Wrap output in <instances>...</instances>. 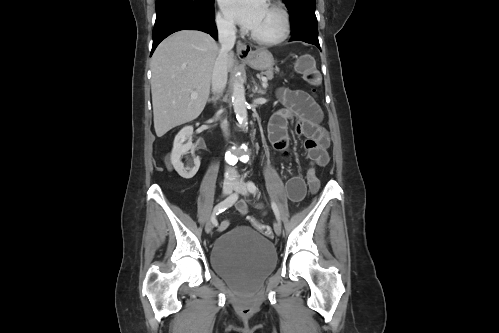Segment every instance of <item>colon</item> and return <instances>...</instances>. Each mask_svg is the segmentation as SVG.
I'll return each mask as SVG.
<instances>
[{"instance_id": "obj_1", "label": "colon", "mask_w": 499, "mask_h": 333, "mask_svg": "<svg viewBox=\"0 0 499 333\" xmlns=\"http://www.w3.org/2000/svg\"><path fill=\"white\" fill-rule=\"evenodd\" d=\"M296 68L298 72L303 75L306 82L309 83L312 87L316 88L320 86L322 81L321 74L315 67L314 60L311 57H301L296 64ZM306 181L311 192L315 193L318 191L320 183L317 177V169L314 163H312L307 169ZM250 221L254 225V227L263 235L267 237H270L272 235L271 228L268 225L263 224L254 218H250Z\"/></svg>"}]
</instances>
